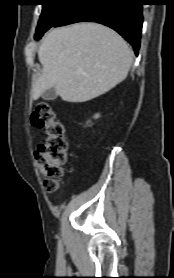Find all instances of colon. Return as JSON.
Masks as SVG:
<instances>
[{
	"label": "colon",
	"instance_id": "colon-1",
	"mask_svg": "<svg viewBox=\"0 0 174 278\" xmlns=\"http://www.w3.org/2000/svg\"><path fill=\"white\" fill-rule=\"evenodd\" d=\"M31 123L44 132V139L34 155L38 168L45 178L46 190L53 192L58 188L63 165L67 160L68 141L65 128L51 106L45 102L35 106L31 114Z\"/></svg>",
	"mask_w": 174,
	"mask_h": 278
}]
</instances>
